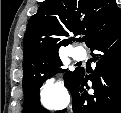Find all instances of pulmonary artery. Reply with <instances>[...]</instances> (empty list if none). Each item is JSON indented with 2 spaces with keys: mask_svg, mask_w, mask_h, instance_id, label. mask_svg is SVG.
<instances>
[{
  "mask_svg": "<svg viewBox=\"0 0 121 113\" xmlns=\"http://www.w3.org/2000/svg\"><path fill=\"white\" fill-rule=\"evenodd\" d=\"M72 57L76 60H82L84 59L85 57V54L82 52V51H79L77 49H75L73 52H72Z\"/></svg>",
  "mask_w": 121,
  "mask_h": 113,
  "instance_id": "e3ab8cb5",
  "label": "pulmonary artery"
}]
</instances>
